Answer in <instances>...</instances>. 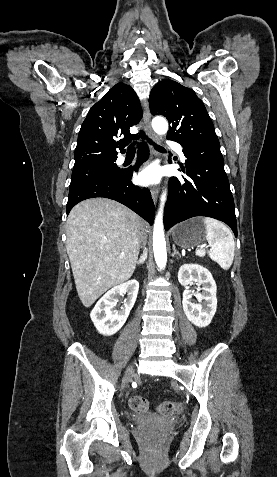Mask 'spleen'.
Returning <instances> with one entry per match:
<instances>
[{
  "label": "spleen",
  "mask_w": 277,
  "mask_h": 477,
  "mask_svg": "<svg viewBox=\"0 0 277 477\" xmlns=\"http://www.w3.org/2000/svg\"><path fill=\"white\" fill-rule=\"evenodd\" d=\"M206 225V240L211 247L208 251L209 257L219 264L223 270H228L234 259L235 242L232 232L221 222L212 219L204 218ZM196 255L204 257L206 251L197 249Z\"/></svg>",
  "instance_id": "3e777b00"
}]
</instances>
